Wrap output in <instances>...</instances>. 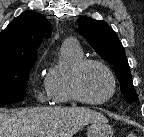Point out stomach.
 Listing matches in <instances>:
<instances>
[{
	"label": "stomach",
	"instance_id": "stomach-1",
	"mask_svg": "<svg viewBox=\"0 0 144 137\" xmlns=\"http://www.w3.org/2000/svg\"><path fill=\"white\" fill-rule=\"evenodd\" d=\"M113 129L108 121H95L87 129V137H112Z\"/></svg>",
	"mask_w": 144,
	"mask_h": 137
}]
</instances>
